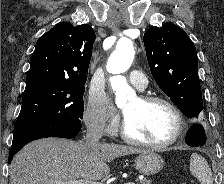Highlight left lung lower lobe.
Wrapping results in <instances>:
<instances>
[{"instance_id":"1","label":"left lung lower lobe","mask_w":224,"mask_h":184,"mask_svg":"<svg viewBox=\"0 0 224 184\" xmlns=\"http://www.w3.org/2000/svg\"><path fill=\"white\" fill-rule=\"evenodd\" d=\"M206 142V135L202 125L198 124L191 128L186 136V143L189 146H202Z\"/></svg>"}]
</instances>
